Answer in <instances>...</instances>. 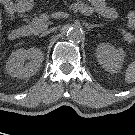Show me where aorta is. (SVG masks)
Returning a JSON list of instances; mask_svg holds the SVG:
<instances>
[{
	"label": "aorta",
	"mask_w": 135,
	"mask_h": 135,
	"mask_svg": "<svg viewBox=\"0 0 135 135\" xmlns=\"http://www.w3.org/2000/svg\"><path fill=\"white\" fill-rule=\"evenodd\" d=\"M66 37L71 42H80L84 37V32L78 26H69L66 29Z\"/></svg>",
	"instance_id": "1"
}]
</instances>
